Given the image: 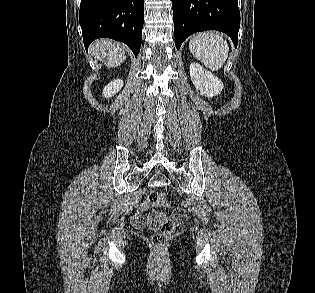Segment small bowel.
I'll return each mask as SVG.
<instances>
[{
  "label": "small bowel",
  "instance_id": "c3829d8e",
  "mask_svg": "<svg viewBox=\"0 0 315 293\" xmlns=\"http://www.w3.org/2000/svg\"><path fill=\"white\" fill-rule=\"evenodd\" d=\"M154 207L149 201L143 202L133 217V223L139 228L150 227L151 230L159 229V222L165 218V214L159 211H148Z\"/></svg>",
  "mask_w": 315,
  "mask_h": 293
}]
</instances>
